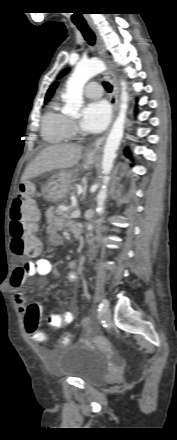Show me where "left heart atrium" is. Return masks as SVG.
<instances>
[{
    "label": "left heart atrium",
    "instance_id": "1",
    "mask_svg": "<svg viewBox=\"0 0 177 440\" xmlns=\"http://www.w3.org/2000/svg\"><path fill=\"white\" fill-rule=\"evenodd\" d=\"M110 119V110L104 101L88 103L82 110L81 128L89 133H99L105 129Z\"/></svg>",
    "mask_w": 177,
    "mask_h": 440
}]
</instances>
